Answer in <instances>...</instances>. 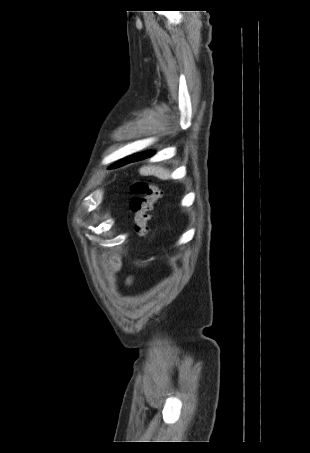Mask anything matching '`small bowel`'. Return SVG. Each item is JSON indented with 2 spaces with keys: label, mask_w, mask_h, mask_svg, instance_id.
<instances>
[{
  "label": "small bowel",
  "mask_w": 310,
  "mask_h": 453,
  "mask_svg": "<svg viewBox=\"0 0 310 453\" xmlns=\"http://www.w3.org/2000/svg\"><path fill=\"white\" fill-rule=\"evenodd\" d=\"M122 269V259L119 254L116 252L112 253L108 259V271L111 276H115L118 274ZM132 278H127V283H131Z\"/></svg>",
  "instance_id": "obj_1"
}]
</instances>
